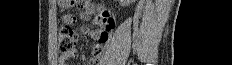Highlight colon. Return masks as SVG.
Returning a JSON list of instances; mask_svg holds the SVG:
<instances>
[{"label":"colon","mask_w":232,"mask_h":65,"mask_svg":"<svg viewBox=\"0 0 232 65\" xmlns=\"http://www.w3.org/2000/svg\"><path fill=\"white\" fill-rule=\"evenodd\" d=\"M76 3L83 9H86L89 6L87 1H76ZM77 42L78 34L70 26H65L61 29L58 44L62 53L73 50Z\"/></svg>","instance_id":"5ec220e1"}]
</instances>
